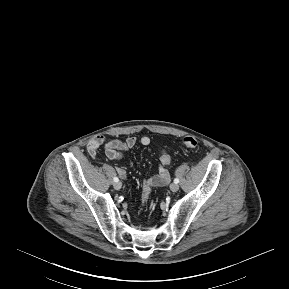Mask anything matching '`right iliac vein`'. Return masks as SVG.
Listing matches in <instances>:
<instances>
[{
    "instance_id": "1",
    "label": "right iliac vein",
    "mask_w": 289,
    "mask_h": 289,
    "mask_svg": "<svg viewBox=\"0 0 289 289\" xmlns=\"http://www.w3.org/2000/svg\"><path fill=\"white\" fill-rule=\"evenodd\" d=\"M113 186H114V189L120 190L122 187V184L120 182H115Z\"/></svg>"
}]
</instances>
